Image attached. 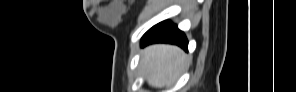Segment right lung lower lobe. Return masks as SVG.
I'll list each match as a JSON object with an SVG mask.
<instances>
[{"instance_id": "1", "label": "right lung lower lobe", "mask_w": 296, "mask_h": 92, "mask_svg": "<svg viewBox=\"0 0 296 92\" xmlns=\"http://www.w3.org/2000/svg\"><path fill=\"white\" fill-rule=\"evenodd\" d=\"M156 42L176 44L185 50L188 46L184 33L170 21H163L148 30L142 37L141 45L146 46Z\"/></svg>"}]
</instances>
